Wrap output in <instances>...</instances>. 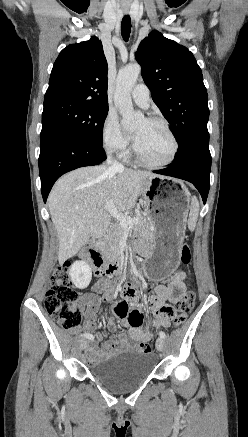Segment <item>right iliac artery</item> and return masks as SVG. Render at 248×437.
<instances>
[{
  "label": "right iliac artery",
  "instance_id": "82829eb1",
  "mask_svg": "<svg viewBox=\"0 0 248 437\" xmlns=\"http://www.w3.org/2000/svg\"><path fill=\"white\" fill-rule=\"evenodd\" d=\"M81 336H83V337H85V338H88V339H90V340H93V336H92L91 334H89V333H84V334H82Z\"/></svg>",
  "mask_w": 248,
  "mask_h": 437
}]
</instances>
